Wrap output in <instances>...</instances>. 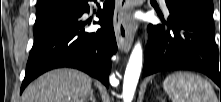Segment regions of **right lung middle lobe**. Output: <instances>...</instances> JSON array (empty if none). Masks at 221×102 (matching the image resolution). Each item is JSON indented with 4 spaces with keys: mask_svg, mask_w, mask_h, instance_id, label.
<instances>
[{
    "mask_svg": "<svg viewBox=\"0 0 221 102\" xmlns=\"http://www.w3.org/2000/svg\"><path fill=\"white\" fill-rule=\"evenodd\" d=\"M77 5L78 0H54L48 6L37 8L33 33L35 34L56 19L73 12Z\"/></svg>",
    "mask_w": 221,
    "mask_h": 102,
    "instance_id": "obj_1",
    "label": "right lung middle lobe"
}]
</instances>
